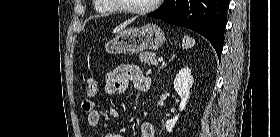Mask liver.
<instances>
[{
  "mask_svg": "<svg viewBox=\"0 0 280 137\" xmlns=\"http://www.w3.org/2000/svg\"><path fill=\"white\" fill-rule=\"evenodd\" d=\"M128 23H129V21L120 24L119 26H117V27L114 29V32H120Z\"/></svg>",
  "mask_w": 280,
  "mask_h": 137,
  "instance_id": "obj_1",
  "label": "liver"
}]
</instances>
